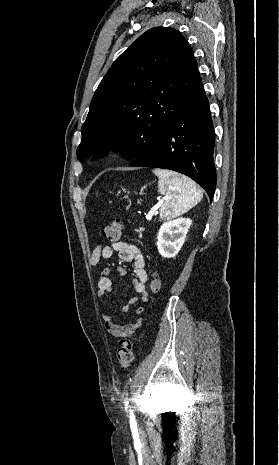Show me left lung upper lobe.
<instances>
[{
	"label": "left lung upper lobe",
	"instance_id": "left-lung-upper-lobe-1",
	"mask_svg": "<svg viewBox=\"0 0 279 465\" xmlns=\"http://www.w3.org/2000/svg\"><path fill=\"white\" fill-rule=\"evenodd\" d=\"M198 74L189 43L175 29L141 35L99 84L82 126L77 158L120 151L131 162L166 131Z\"/></svg>",
	"mask_w": 279,
	"mask_h": 465
}]
</instances>
